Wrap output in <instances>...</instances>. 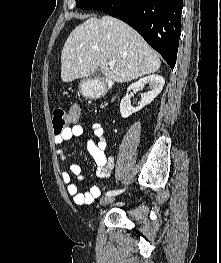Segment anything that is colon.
Wrapping results in <instances>:
<instances>
[{"label": "colon", "instance_id": "colon-1", "mask_svg": "<svg viewBox=\"0 0 221 263\" xmlns=\"http://www.w3.org/2000/svg\"><path fill=\"white\" fill-rule=\"evenodd\" d=\"M81 114V108L73 105L68 111L56 109L53 112V129L55 135H60L73 122H75Z\"/></svg>", "mask_w": 221, "mask_h": 263}]
</instances>
